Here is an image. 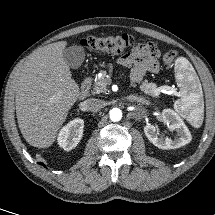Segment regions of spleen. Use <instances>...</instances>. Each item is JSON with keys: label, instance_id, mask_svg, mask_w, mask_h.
Here are the masks:
<instances>
[{"label": "spleen", "instance_id": "1", "mask_svg": "<svg viewBox=\"0 0 215 215\" xmlns=\"http://www.w3.org/2000/svg\"><path fill=\"white\" fill-rule=\"evenodd\" d=\"M175 72L181 89L174 109L191 123H198L203 113V102L193 68L186 58L179 57L175 62Z\"/></svg>", "mask_w": 215, "mask_h": 215}]
</instances>
